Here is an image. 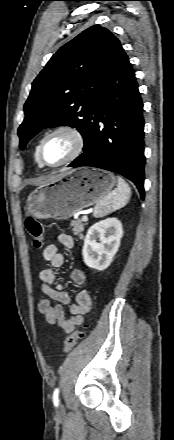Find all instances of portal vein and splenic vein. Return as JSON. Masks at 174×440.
I'll return each instance as SVG.
<instances>
[{
  "instance_id": "portal-vein-and-splenic-vein-1",
  "label": "portal vein and splenic vein",
  "mask_w": 174,
  "mask_h": 440,
  "mask_svg": "<svg viewBox=\"0 0 174 440\" xmlns=\"http://www.w3.org/2000/svg\"><path fill=\"white\" fill-rule=\"evenodd\" d=\"M82 221L84 222L88 221V217L86 215L82 216Z\"/></svg>"
}]
</instances>
